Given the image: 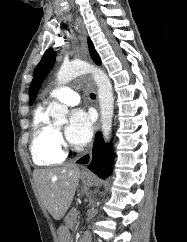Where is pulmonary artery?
Returning a JSON list of instances; mask_svg holds the SVG:
<instances>
[{"label": "pulmonary artery", "instance_id": "pulmonary-artery-1", "mask_svg": "<svg viewBox=\"0 0 187 242\" xmlns=\"http://www.w3.org/2000/svg\"><path fill=\"white\" fill-rule=\"evenodd\" d=\"M52 99H57L69 106L78 104L80 100L78 92L70 86H63L52 90L45 102H49Z\"/></svg>", "mask_w": 187, "mask_h": 242}]
</instances>
